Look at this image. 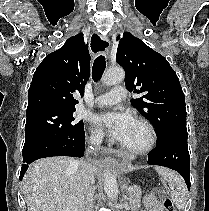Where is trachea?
Returning a JSON list of instances; mask_svg holds the SVG:
<instances>
[{
	"label": "trachea",
	"mask_w": 209,
	"mask_h": 211,
	"mask_svg": "<svg viewBox=\"0 0 209 211\" xmlns=\"http://www.w3.org/2000/svg\"><path fill=\"white\" fill-rule=\"evenodd\" d=\"M105 68H106L105 57L100 55L95 59L92 68V77L95 82H97L101 78Z\"/></svg>",
	"instance_id": "trachea-1"
}]
</instances>
